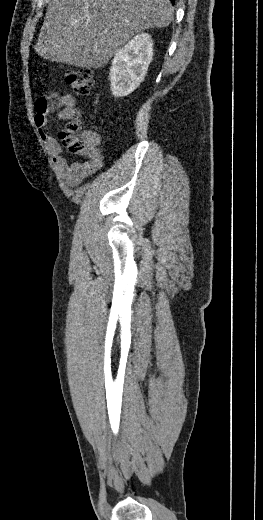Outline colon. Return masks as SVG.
Returning a JSON list of instances; mask_svg holds the SVG:
<instances>
[{
    "label": "colon",
    "instance_id": "obj_1",
    "mask_svg": "<svg viewBox=\"0 0 263 520\" xmlns=\"http://www.w3.org/2000/svg\"><path fill=\"white\" fill-rule=\"evenodd\" d=\"M65 81L75 94L81 97L88 96L94 85L92 71L86 68L68 70L65 73ZM74 118L59 134L61 146L70 154L95 157L97 148L85 135L79 134V112L74 110Z\"/></svg>",
    "mask_w": 263,
    "mask_h": 520
}]
</instances>
